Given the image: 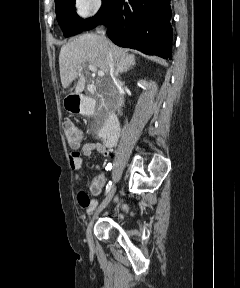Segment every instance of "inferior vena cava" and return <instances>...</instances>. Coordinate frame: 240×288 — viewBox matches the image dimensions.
<instances>
[{
  "label": "inferior vena cava",
  "instance_id": "602c4592",
  "mask_svg": "<svg viewBox=\"0 0 240 288\" xmlns=\"http://www.w3.org/2000/svg\"><path fill=\"white\" fill-rule=\"evenodd\" d=\"M101 37L106 40L105 38V31L101 30ZM107 61H108V65H109V75L112 79V83L113 85L117 88L118 90V95H117V101H116V109L119 111L123 105V96L121 94V86H120V82L118 80V73L116 71V64L114 63L113 57L112 55L108 52L107 54ZM117 123L116 118H111L109 120V124L111 123Z\"/></svg>",
  "mask_w": 240,
  "mask_h": 288
}]
</instances>
